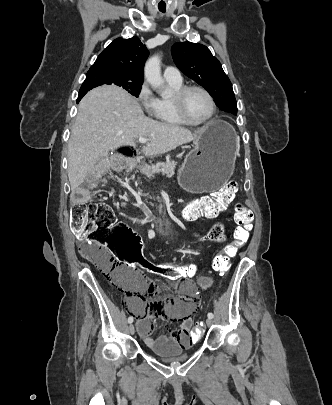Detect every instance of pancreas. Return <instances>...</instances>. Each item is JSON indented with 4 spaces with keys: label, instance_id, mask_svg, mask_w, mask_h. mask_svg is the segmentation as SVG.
Returning <instances> with one entry per match:
<instances>
[{
    "label": "pancreas",
    "instance_id": "cf45deb5",
    "mask_svg": "<svg viewBox=\"0 0 332 405\" xmlns=\"http://www.w3.org/2000/svg\"><path fill=\"white\" fill-rule=\"evenodd\" d=\"M177 162L174 160H167L166 162H158L152 165L149 169V174H159L166 175L171 178L175 175V168Z\"/></svg>",
    "mask_w": 332,
    "mask_h": 405
}]
</instances>
